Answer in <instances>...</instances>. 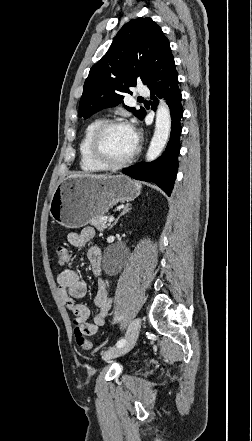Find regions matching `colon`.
Segmentation results:
<instances>
[{"instance_id": "obj_1", "label": "colon", "mask_w": 252, "mask_h": 441, "mask_svg": "<svg viewBox=\"0 0 252 441\" xmlns=\"http://www.w3.org/2000/svg\"><path fill=\"white\" fill-rule=\"evenodd\" d=\"M70 252L65 246L57 247V265L63 267L70 262ZM75 323V337L79 348L83 351H89L92 347L91 341L85 336L78 322Z\"/></svg>"}]
</instances>
